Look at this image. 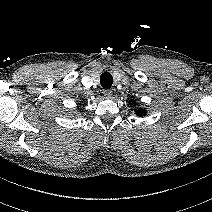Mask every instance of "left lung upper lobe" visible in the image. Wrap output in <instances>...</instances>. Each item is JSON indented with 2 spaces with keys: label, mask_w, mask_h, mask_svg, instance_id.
Here are the masks:
<instances>
[{
  "label": "left lung upper lobe",
  "mask_w": 212,
  "mask_h": 212,
  "mask_svg": "<svg viewBox=\"0 0 212 212\" xmlns=\"http://www.w3.org/2000/svg\"><path fill=\"white\" fill-rule=\"evenodd\" d=\"M134 102V101H133ZM137 113V115L138 116H140V117H142V115H145L146 113H145V110L144 109H142V110H140V111H136Z\"/></svg>",
  "instance_id": "5c2ea615"
}]
</instances>
